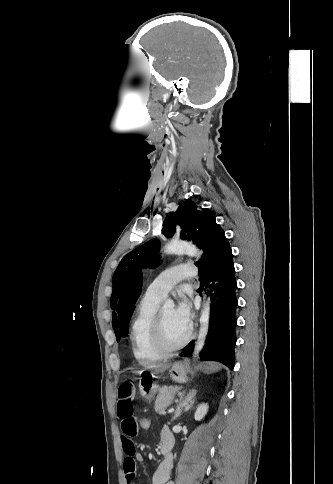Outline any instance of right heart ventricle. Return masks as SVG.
<instances>
[{"label":"right heart ventricle","instance_id":"e07e8e85","mask_svg":"<svg viewBox=\"0 0 333 484\" xmlns=\"http://www.w3.org/2000/svg\"><path fill=\"white\" fill-rule=\"evenodd\" d=\"M160 300L145 295L138 304L131 322L130 342L132 351L141 365H151L163 358L152 340V326Z\"/></svg>","mask_w":333,"mask_h":484}]
</instances>
